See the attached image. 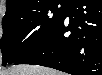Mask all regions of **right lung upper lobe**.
<instances>
[{"mask_svg":"<svg viewBox=\"0 0 102 75\" xmlns=\"http://www.w3.org/2000/svg\"><path fill=\"white\" fill-rule=\"evenodd\" d=\"M55 0H7L6 14L17 12L23 9H31L43 3L52 2Z\"/></svg>","mask_w":102,"mask_h":75,"instance_id":"1","label":"right lung upper lobe"}]
</instances>
